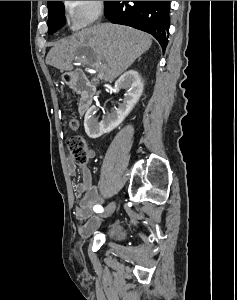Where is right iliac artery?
Wrapping results in <instances>:
<instances>
[{
    "instance_id": "obj_1",
    "label": "right iliac artery",
    "mask_w": 237,
    "mask_h": 300,
    "mask_svg": "<svg viewBox=\"0 0 237 300\" xmlns=\"http://www.w3.org/2000/svg\"><path fill=\"white\" fill-rule=\"evenodd\" d=\"M93 210L96 212V213H101L103 212V207L101 205H95L93 207Z\"/></svg>"
}]
</instances>
